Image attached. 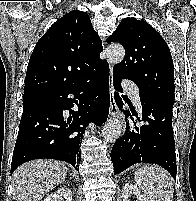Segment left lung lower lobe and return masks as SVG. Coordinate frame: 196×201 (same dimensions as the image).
<instances>
[{"label":"left lung lower lobe","instance_id":"1","mask_svg":"<svg viewBox=\"0 0 196 201\" xmlns=\"http://www.w3.org/2000/svg\"><path fill=\"white\" fill-rule=\"evenodd\" d=\"M122 78L113 75L114 88L122 92ZM119 108L124 102L119 95H114ZM142 105V118H137L144 124L141 127L132 126L126 121L125 134L118 139L111 151V160L114 173L119 174L136 163L157 164L166 169L176 180L177 165L175 154V141L172 132L173 105L163 100L140 96ZM132 115L137 117L135 110ZM127 110V116L130 115ZM136 125V123H135Z\"/></svg>","mask_w":196,"mask_h":201}]
</instances>
